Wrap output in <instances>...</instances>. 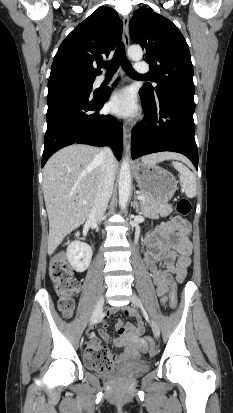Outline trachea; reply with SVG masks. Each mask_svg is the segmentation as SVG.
Here are the masks:
<instances>
[{"mask_svg": "<svg viewBox=\"0 0 233 413\" xmlns=\"http://www.w3.org/2000/svg\"><path fill=\"white\" fill-rule=\"evenodd\" d=\"M120 65L123 68V70L131 77H144L143 75L138 74L128 61L125 55V47L123 43H120L118 45L113 58L110 61L104 62L102 64V66L107 70L106 74H114Z\"/></svg>", "mask_w": 233, "mask_h": 413, "instance_id": "trachea-1", "label": "trachea"}]
</instances>
